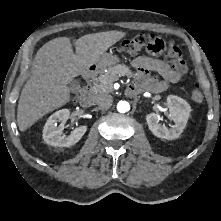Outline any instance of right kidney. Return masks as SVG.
Instances as JSON below:
<instances>
[{"label":"right kidney","instance_id":"1","mask_svg":"<svg viewBox=\"0 0 221 221\" xmlns=\"http://www.w3.org/2000/svg\"><path fill=\"white\" fill-rule=\"evenodd\" d=\"M70 115L69 109H62L52 114L44 128L43 139L44 141L55 147H69L76 144L87 131V126H79L74 129L70 135L63 134L64 124ZM60 122V125H57Z\"/></svg>","mask_w":221,"mask_h":221}]
</instances>
